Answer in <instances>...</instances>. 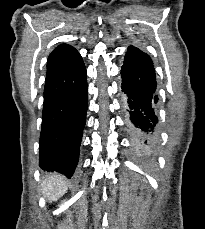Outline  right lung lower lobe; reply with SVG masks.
<instances>
[{
  "mask_svg": "<svg viewBox=\"0 0 205 229\" xmlns=\"http://www.w3.org/2000/svg\"><path fill=\"white\" fill-rule=\"evenodd\" d=\"M87 79L81 59L69 65L53 51L47 62L39 165L70 178L77 166L86 123Z\"/></svg>",
  "mask_w": 205,
  "mask_h": 229,
  "instance_id": "right-lung-lower-lobe-1",
  "label": "right lung lower lobe"
}]
</instances>
